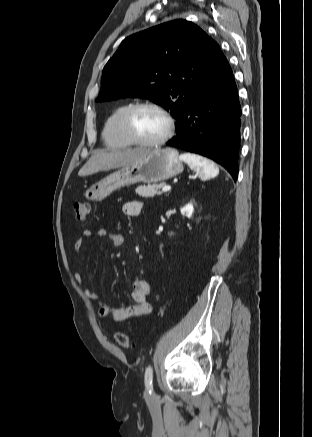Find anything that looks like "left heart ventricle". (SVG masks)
I'll return each instance as SVG.
<instances>
[{"instance_id":"obj_1","label":"left heart ventricle","mask_w":312,"mask_h":437,"mask_svg":"<svg viewBox=\"0 0 312 437\" xmlns=\"http://www.w3.org/2000/svg\"><path fill=\"white\" fill-rule=\"evenodd\" d=\"M133 129L142 140H155L166 131V121L161 114L152 109L138 111L133 119Z\"/></svg>"}]
</instances>
